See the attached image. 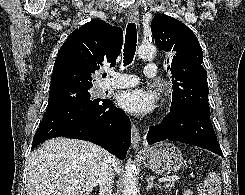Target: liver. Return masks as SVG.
Wrapping results in <instances>:
<instances>
[{"instance_id": "liver-1", "label": "liver", "mask_w": 245, "mask_h": 195, "mask_svg": "<svg viewBox=\"0 0 245 195\" xmlns=\"http://www.w3.org/2000/svg\"><path fill=\"white\" fill-rule=\"evenodd\" d=\"M108 153L84 140L53 138L29 157L26 195H89ZM119 171L120 161L111 156Z\"/></svg>"}]
</instances>
